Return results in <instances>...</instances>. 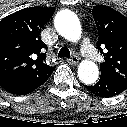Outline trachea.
Returning <instances> with one entry per match:
<instances>
[{"label": "trachea", "instance_id": "3493384b", "mask_svg": "<svg viewBox=\"0 0 127 127\" xmlns=\"http://www.w3.org/2000/svg\"><path fill=\"white\" fill-rule=\"evenodd\" d=\"M70 56H71V54H70V51L67 47L61 48L58 53V58H60V57L70 58Z\"/></svg>", "mask_w": 127, "mask_h": 127}]
</instances>
